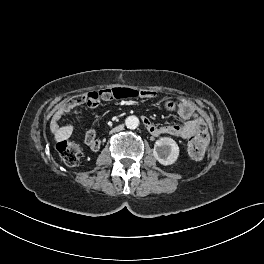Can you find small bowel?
<instances>
[{"label": "small bowel", "instance_id": "small-bowel-1", "mask_svg": "<svg viewBox=\"0 0 264 264\" xmlns=\"http://www.w3.org/2000/svg\"><path fill=\"white\" fill-rule=\"evenodd\" d=\"M80 98L79 101L73 102L68 100L64 104H62L56 111L52 119V129L55 132H60L63 137H69L71 135L72 129L70 126H66L60 129L59 121L61 117L66 112H72L75 115H78L77 110L75 109L80 104L86 102L84 96H78ZM140 97L145 99H151L156 97V93L152 90H142L140 92ZM90 108H95L97 105H90ZM170 108L176 109L177 114L184 120L183 124H173V125H163V126H156L154 125L147 117H142L143 124L147 131L154 137H158L160 135H171L180 137L183 139H188L193 136L199 128L202 126V123L199 120H195L192 118V106L187 102H180L177 106L174 103H169ZM86 144L91 148L93 151H97L100 148L101 142L96 137L94 130H89L85 136Z\"/></svg>", "mask_w": 264, "mask_h": 264}]
</instances>
